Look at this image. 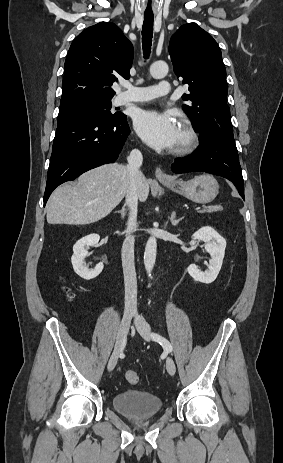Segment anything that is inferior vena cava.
<instances>
[{"label": "inferior vena cava", "mask_w": 283, "mask_h": 463, "mask_svg": "<svg viewBox=\"0 0 283 463\" xmlns=\"http://www.w3.org/2000/svg\"><path fill=\"white\" fill-rule=\"evenodd\" d=\"M127 169L129 172V184L126 191V204L130 209L126 238L122 245L121 258L125 284V311L135 312L137 310V279L134 263V237L132 233L137 226V206L139 187L145 181L140 167L143 162L142 153L134 149L127 158Z\"/></svg>", "instance_id": "obj_1"}]
</instances>
